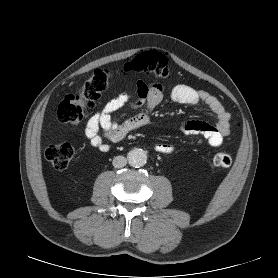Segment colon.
<instances>
[{
    "mask_svg": "<svg viewBox=\"0 0 278 278\" xmlns=\"http://www.w3.org/2000/svg\"><path fill=\"white\" fill-rule=\"evenodd\" d=\"M126 69L136 73L165 79L170 76L167 58L160 52L149 51L137 55L126 65ZM111 73L105 69H97L86 82L79 94L67 95L59 104L57 118L60 122L69 124L80 123L107 89ZM75 149L70 143L49 146L45 151L47 160L59 170L65 169L74 157ZM213 162L216 166L227 168L232 164V158L225 152H217Z\"/></svg>",
    "mask_w": 278,
    "mask_h": 278,
    "instance_id": "colon-1",
    "label": "colon"
}]
</instances>
